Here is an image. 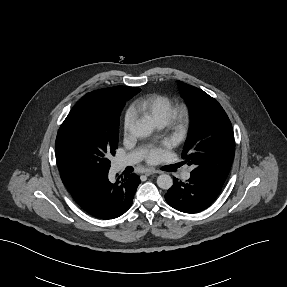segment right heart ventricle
Returning a JSON list of instances; mask_svg holds the SVG:
<instances>
[{
	"label": "right heart ventricle",
	"instance_id": "right-heart-ventricle-1",
	"mask_svg": "<svg viewBox=\"0 0 287 287\" xmlns=\"http://www.w3.org/2000/svg\"><path fill=\"white\" fill-rule=\"evenodd\" d=\"M173 108L172 100L165 95L149 94L144 96L132 105L134 114L147 118L156 126H165L170 118Z\"/></svg>",
	"mask_w": 287,
	"mask_h": 287
}]
</instances>
